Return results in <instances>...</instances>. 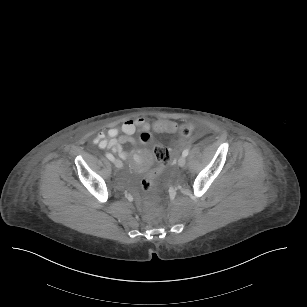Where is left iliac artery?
<instances>
[{
	"label": "left iliac artery",
	"mask_w": 307,
	"mask_h": 307,
	"mask_svg": "<svg viewBox=\"0 0 307 307\" xmlns=\"http://www.w3.org/2000/svg\"><path fill=\"white\" fill-rule=\"evenodd\" d=\"M189 154V150L185 149L182 153V156L186 157Z\"/></svg>",
	"instance_id": "1"
}]
</instances>
